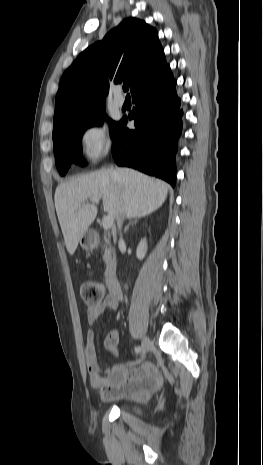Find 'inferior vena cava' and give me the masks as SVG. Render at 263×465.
Masks as SVG:
<instances>
[{
	"instance_id": "602c4592",
	"label": "inferior vena cava",
	"mask_w": 263,
	"mask_h": 465,
	"mask_svg": "<svg viewBox=\"0 0 263 465\" xmlns=\"http://www.w3.org/2000/svg\"><path fill=\"white\" fill-rule=\"evenodd\" d=\"M122 219H123V214H121V215L117 218V226H118V230L120 231L119 245H121V244L124 243V241H123V239H122V234H121Z\"/></svg>"
}]
</instances>
